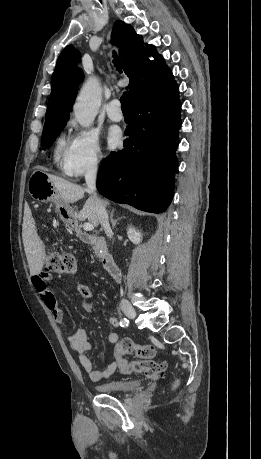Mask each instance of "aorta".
<instances>
[{
  "label": "aorta",
  "mask_w": 261,
  "mask_h": 459,
  "mask_svg": "<svg viewBox=\"0 0 261 459\" xmlns=\"http://www.w3.org/2000/svg\"><path fill=\"white\" fill-rule=\"evenodd\" d=\"M101 104V87L95 78H90L82 87L73 107L77 122L88 127L94 121Z\"/></svg>",
  "instance_id": "1"
}]
</instances>
